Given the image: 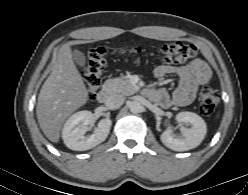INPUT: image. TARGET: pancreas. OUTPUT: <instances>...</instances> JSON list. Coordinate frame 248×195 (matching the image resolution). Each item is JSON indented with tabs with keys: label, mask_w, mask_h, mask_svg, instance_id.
I'll use <instances>...</instances> for the list:
<instances>
[{
	"label": "pancreas",
	"mask_w": 248,
	"mask_h": 195,
	"mask_svg": "<svg viewBox=\"0 0 248 195\" xmlns=\"http://www.w3.org/2000/svg\"><path fill=\"white\" fill-rule=\"evenodd\" d=\"M105 87L111 93H122L124 95H132L138 91L137 86L131 84L127 76L108 79L105 82Z\"/></svg>",
	"instance_id": "1"
}]
</instances>
